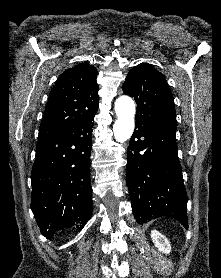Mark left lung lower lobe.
<instances>
[{
	"instance_id": "obj_1",
	"label": "left lung lower lobe",
	"mask_w": 221,
	"mask_h": 278,
	"mask_svg": "<svg viewBox=\"0 0 221 278\" xmlns=\"http://www.w3.org/2000/svg\"><path fill=\"white\" fill-rule=\"evenodd\" d=\"M126 177L137 223L167 216L188 229L187 193L178 159L175 125L136 122L128 146Z\"/></svg>"
}]
</instances>
